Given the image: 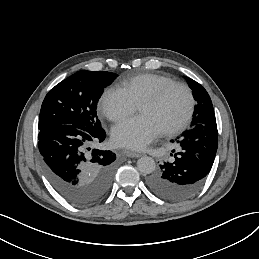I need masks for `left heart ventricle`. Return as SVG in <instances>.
Returning <instances> with one entry per match:
<instances>
[{
  "instance_id": "b2bd125f",
  "label": "left heart ventricle",
  "mask_w": 259,
  "mask_h": 259,
  "mask_svg": "<svg viewBox=\"0 0 259 259\" xmlns=\"http://www.w3.org/2000/svg\"><path fill=\"white\" fill-rule=\"evenodd\" d=\"M187 110V95L180 88L173 89L157 105H139V116L149 118L161 131H164L178 123Z\"/></svg>"
}]
</instances>
